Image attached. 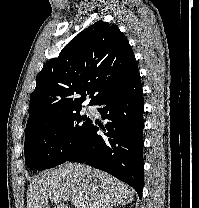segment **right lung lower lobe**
<instances>
[{"instance_id":"obj_1","label":"right lung lower lobe","mask_w":199,"mask_h":208,"mask_svg":"<svg viewBox=\"0 0 199 208\" xmlns=\"http://www.w3.org/2000/svg\"><path fill=\"white\" fill-rule=\"evenodd\" d=\"M108 122L100 126L92 121L78 147L67 161H78L101 169L132 186L139 198L144 180L143 112L144 100L140 74L114 88L95 103Z\"/></svg>"}]
</instances>
